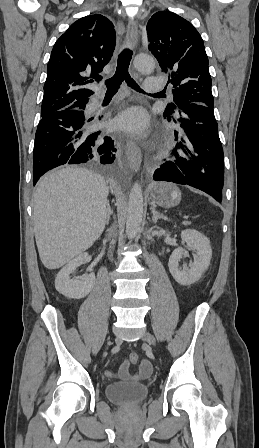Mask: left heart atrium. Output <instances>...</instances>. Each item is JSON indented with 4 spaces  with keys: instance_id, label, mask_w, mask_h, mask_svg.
<instances>
[{
    "instance_id": "39dd6f15",
    "label": "left heart atrium",
    "mask_w": 259,
    "mask_h": 448,
    "mask_svg": "<svg viewBox=\"0 0 259 448\" xmlns=\"http://www.w3.org/2000/svg\"><path fill=\"white\" fill-rule=\"evenodd\" d=\"M115 126L133 134L142 135L148 128L146 112L141 107H132L116 119Z\"/></svg>"
}]
</instances>
